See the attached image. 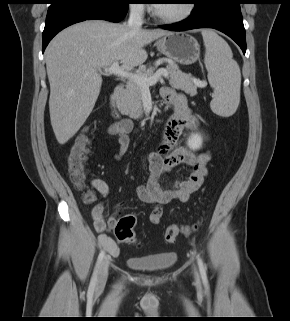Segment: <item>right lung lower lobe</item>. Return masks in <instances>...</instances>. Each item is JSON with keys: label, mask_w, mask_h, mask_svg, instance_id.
I'll list each match as a JSON object with an SVG mask.
<instances>
[{"label": "right lung lower lobe", "mask_w": 290, "mask_h": 321, "mask_svg": "<svg viewBox=\"0 0 290 321\" xmlns=\"http://www.w3.org/2000/svg\"><path fill=\"white\" fill-rule=\"evenodd\" d=\"M128 3L90 4L84 2L62 1L51 3L43 31L42 51L50 40L62 29L85 20H107L118 22L127 13Z\"/></svg>", "instance_id": "right-lung-lower-lobe-1"}]
</instances>
